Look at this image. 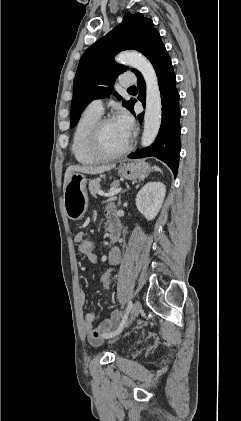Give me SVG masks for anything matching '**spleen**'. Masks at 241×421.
<instances>
[{
    "instance_id": "3e777b00",
    "label": "spleen",
    "mask_w": 241,
    "mask_h": 421,
    "mask_svg": "<svg viewBox=\"0 0 241 421\" xmlns=\"http://www.w3.org/2000/svg\"><path fill=\"white\" fill-rule=\"evenodd\" d=\"M153 169H154L155 171H161V170H160V168H159V167H157V166H154V167H153Z\"/></svg>"
}]
</instances>
